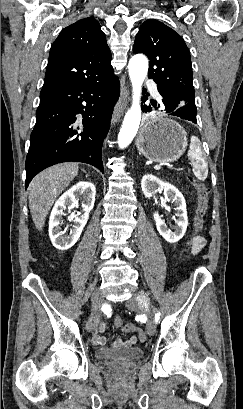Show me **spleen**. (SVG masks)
<instances>
[{"instance_id":"3e777b00","label":"spleen","mask_w":243,"mask_h":409,"mask_svg":"<svg viewBox=\"0 0 243 409\" xmlns=\"http://www.w3.org/2000/svg\"><path fill=\"white\" fill-rule=\"evenodd\" d=\"M188 157L191 159L195 177L204 181L208 176V164L203 156L200 140L196 136L191 137Z\"/></svg>"}]
</instances>
